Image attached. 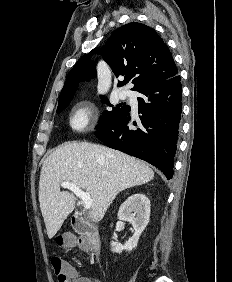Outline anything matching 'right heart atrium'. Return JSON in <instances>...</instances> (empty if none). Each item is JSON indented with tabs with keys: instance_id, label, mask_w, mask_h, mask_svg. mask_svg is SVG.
Instances as JSON below:
<instances>
[{
	"instance_id": "1",
	"label": "right heart atrium",
	"mask_w": 232,
	"mask_h": 282,
	"mask_svg": "<svg viewBox=\"0 0 232 282\" xmlns=\"http://www.w3.org/2000/svg\"><path fill=\"white\" fill-rule=\"evenodd\" d=\"M94 118V108L88 102H80L73 109L70 118L69 126L74 132L86 131Z\"/></svg>"
}]
</instances>
